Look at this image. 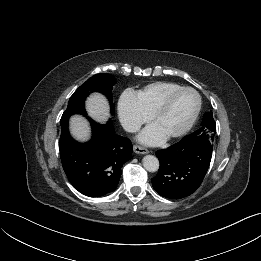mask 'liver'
<instances>
[{
	"label": "liver",
	"instance_id": "6515ba94",
	"mask_svg": "<svg viewBox=\"0 0 261 261\" xmlns=\"http://www.w3.org/2000/svg\"><path fill=\"white\" fill-rule=\"evenodd\" d=\"M86 108L89 115L99 121L105 122L109 116V105L106 98L94 93L86 101ZM70 131L73 137L78 141H87L90 136L88 122L81 116H73L70 119Z\"/></svg>",
	"mask_w": 261,
	"mask_h": 261
}]
</instances>
